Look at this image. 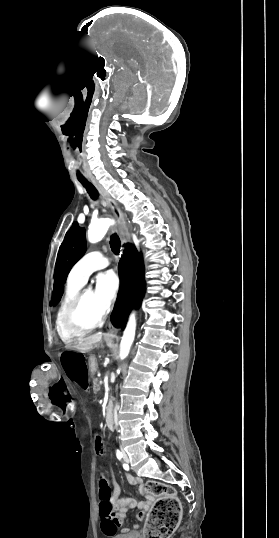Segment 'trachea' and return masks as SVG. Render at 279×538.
Returning <instances> with one entry per match:
<instances>
[{
    "label": "trachea",
    "mask_w": 279,
    "mask_h": 538,
    "mask_svg": "<svg viewBox=\"0 0 279 538\" xmlns=\"http://www.w3.org/2000/svg\"><path fill=\"white\" fill-rule=\"evenodd\" d=\"M78 180L86 188L91 199L96 200L98 198V192L96 188L91 183H89L84 177H78ZM109 244H110L112 252L115 255H118L120 252V239L116 233L111 235Z\"/></svg>",
    "instance_id": "1"
}]
</instances>
